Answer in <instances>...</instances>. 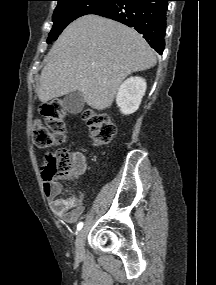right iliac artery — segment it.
Here are the masks:
<instances>
[{
	"mask_svg": "<svg viewBox=\"0 0 216 285\" xmlns=\"http://www.w3.org/2000/svg\"><path fill=\"white\" fill-rule=\"evenodd\" d=\"M83 227V222H80L78 225H77V230H81Z\"/></svg>",
	"mask_w": 216,
	"mask_h": 285,
	"instance_id": "1",
	"label": "right iliac artery"
}]
</instances>
